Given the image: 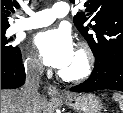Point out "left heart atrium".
Returning a JSON list of instances; mask_svg holds the SVG:
<instances>
[{"mask_svg":"<svg viewBox=\"0 0 123 113\" xmlns=\"http://www.w3.org/2000/svg\"><path fill=\"white\" fill-rule=\"evenodd\" d=\"M33 44L43 62L57 69L67 67L75 56L71 34L64 28L38 33L33 39Z\"/></svg>","mask_w":123,"mask_h":113,"instance_id":"left-heart-atrium-1","label":"left heart atrium"}]
</instances>
